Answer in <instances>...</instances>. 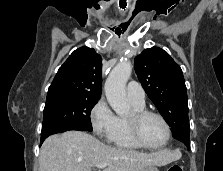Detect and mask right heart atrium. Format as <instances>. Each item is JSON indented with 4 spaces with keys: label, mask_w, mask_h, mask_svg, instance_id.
Here are the masks:
<instances>
[{
    "label": "right heart atrium",
    "mask_w": 223,
    "mask_h": 171,
    "mask_svg": "<svg viewBox=\"0 0 223 171\" xmlns=\"http://www.w3.org/2000/svg\"><path fill=\"white\" fill-rule=\"evenodd\" d=\"M93 132L100 138L109 139L116 126V116L105 99H99L90 111Z\"/></svg>",
    "instance_id": "right-heart-atrium-1"
}]
</instances>
